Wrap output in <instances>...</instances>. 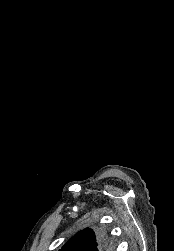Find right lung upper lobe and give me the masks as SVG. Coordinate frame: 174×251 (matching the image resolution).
Returning a JSON list of instances; mask_svg holds the SVG:
<instances>
[{
  "label": "right lung upper lobe",
  "instance_id": "obj_1",
  "mask_svg": "<svg viewBox=\"0 0 174 251\" xmlns=\"http://www.w3.org/2000/svg\"><path fill=\"white\" fill-rule=\"evenodd\" d=\"M100 238L91 229H85L72 237L60 251H93L99 245Z\"/></svg>",
  "mask_w": 174,
  "mask_h": 251
}]
</instances>
